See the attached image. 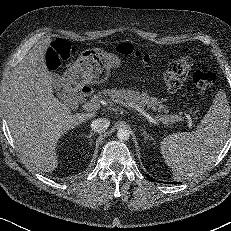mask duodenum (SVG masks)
<instances>
[{"instance_id":"1","label":"duodenum","mask_w":231,"mask_h":231,"mask_svg":"<svg viewBox=\"0 0 231 231\" xmlns=\"http://www.w3.org/2000/svg\"><path fill=\"white\" fill-rule=\"evenodd\" d=\"M64 100L70 106L85 102L92 94V88L86 84H76L70 78L64 79Z\"/></svg>"}]
</instances>
